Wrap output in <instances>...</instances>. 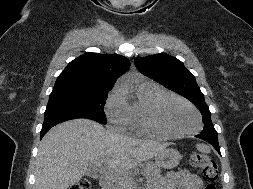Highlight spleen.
<instances>
[{"instance_id":"obj_1","label":"spleen","mask_w":253,"mask_h":189,"mask_svg":"<svg viewBox=\"0 0 253 189\" xmlns=\"http://www.w3.org/2000/svg\"><path fill=\"white\" fill-rule=\"evenodd\" d=\"M197 149L203 153H210V147L205 144H197Z\"/></svg>"}]
</instances>
